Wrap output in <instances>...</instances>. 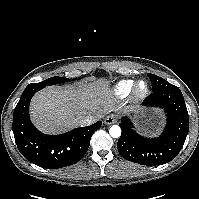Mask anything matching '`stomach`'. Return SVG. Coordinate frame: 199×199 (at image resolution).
I'll list each match as a JSON object with an SVG mask.
<instances>
[{
	"mask_svg": "<svg viewBox=\"0 0 199 199\" xmlns=\"http://www.w3.org/2000/svg\"><path fill=\"white\" fill-rule=\"evenodd\" d=\"M138 119H142L139 121V129L143 132L150 133L155 129H158L160 121L158 120L156 114H147L142 113Z\"/></svg>",
	"mask_w": 199,
	"mask_h": 199,
	"instance_id": "1",
	"label": "stomach"
}]
</instances>
